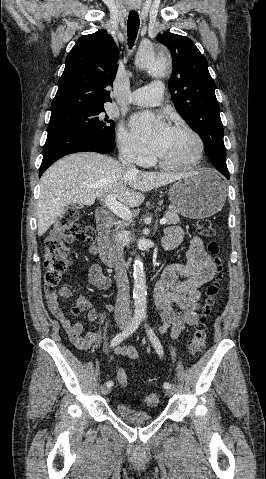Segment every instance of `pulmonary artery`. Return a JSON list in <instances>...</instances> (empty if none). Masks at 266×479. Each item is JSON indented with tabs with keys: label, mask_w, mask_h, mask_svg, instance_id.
I'll list each match as a JSON object with an SVG mask.
<instances>
[{
	"label": "pulmonary artery",
	"mask_w": 266,
	"mask_h": 479,
	"mask_svg": "<svg viewBox=\"0 0 266 479\" xmlns=\"http://www.w3.org/2000/svg\"><path fill=\"white\" fill-rule=\"evenodd\" d=\"M163 93V83L161 81H154L132 92L128 97V102L143 107L156 106L161 103Z\"/></svg>",
	"instance_id": "1"
}]
</instances>
